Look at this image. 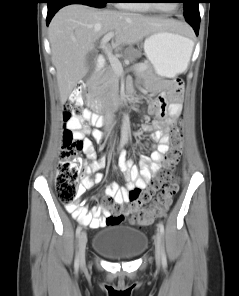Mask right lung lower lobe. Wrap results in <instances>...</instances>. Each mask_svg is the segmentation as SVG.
Here are the masks:
<instances>
[{"instance_id":"obj_1","label":"right lung lower lobe","mask_w":239,"mask_h":296,"mask_svg":"<svg viewBox=\"0 0 239 296\" xmlns=\"http://www.w3.org/2000/svg\"><path fill=\"white\" fill-rule=\"evenodd\" d=\"M48 14H47V25L49 24L50 20L54 16V14L63 6L76 3L73 0H49L48 2Z\"/></svg>"}]
</instances>
